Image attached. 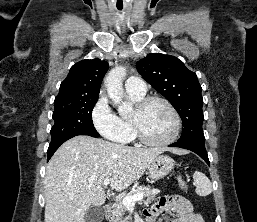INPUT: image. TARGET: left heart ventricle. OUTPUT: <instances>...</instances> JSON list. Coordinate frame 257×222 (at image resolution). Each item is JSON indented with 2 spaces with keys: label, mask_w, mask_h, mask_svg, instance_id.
Segmentation results:
<instances>
[{
  "label": "left heart ventricle",
  "mask_w": 257,
  "mask_h": 222,
  "mask_svg": "<svg viewBox=\"0 0 257 222\" xmlns=\"http://www.w3.org/2000/svg\"><path fill=\"white\" fill-rule=\"evenodd\" d=\"M144 135L152 141L168 138L174 130L173 116L162 103L151 104L140 116Z\"/></svg>",
  "instance_id": "1"
}]
</instances>
